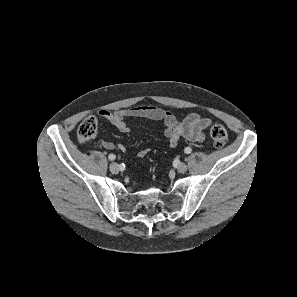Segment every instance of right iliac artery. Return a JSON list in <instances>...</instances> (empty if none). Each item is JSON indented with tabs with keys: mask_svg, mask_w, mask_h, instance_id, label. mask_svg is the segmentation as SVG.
<instances>
[{
	"mask_svg": "<svg viewBox=\"0 0 297 297\" xmlns=\"http://www.w3.org/2000/svg\"><path fill=\"white\" fill-rule=\"evenodd\" d=\"M108 158H109L110 160H114V159L116 158V156H115L114 154H109Z\"/></svg>",
	"mask_w": 297,
	"mask_h": 297,
	"instance_id": "right-iliac-artery-1",
	"label": "right iliac artery"
}]
</instances>
